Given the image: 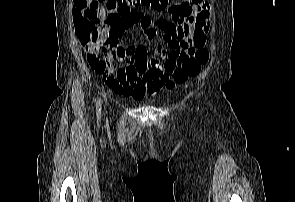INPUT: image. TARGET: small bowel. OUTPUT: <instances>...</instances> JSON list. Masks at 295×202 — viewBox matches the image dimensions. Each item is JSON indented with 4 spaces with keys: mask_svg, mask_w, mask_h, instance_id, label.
Returning a JSON list of instances; mask_svg holds the SVG:
<instances>
[{
    "mask_svg": "<svg viewBox=\"0 0 295 202\" xmlns=\"http://www.w3.org/2000/svg\"><path fill=\"white\" fill-rule=\"evenodd\" d=\"M74 8L77 14L94 24H100L107 17L99 0H74ZM153 8L165 11L166 16L152 22L141 9H134L130 16L115 19L112 27L101 29L110 35L107 47L86 48L87 61L96 74L114 92L126 97L141 99L159 92L168 79L167 65L175 64L181 52L200 48L209 31L207 0H177L174 4ZM135 25L141 27L148 42L160 34V44L154 51L128 40L117 44ZM114 60L119 66L109 67L108 63Z\"/></svg>",
    "mask_w": 295,
    "mask_h": 202,
    "instance_id": "obj_1",
    "label": "small bowel"
}]
</instances>
